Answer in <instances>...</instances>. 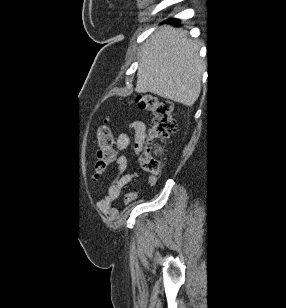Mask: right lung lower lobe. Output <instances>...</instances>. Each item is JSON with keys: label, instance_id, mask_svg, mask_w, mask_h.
Here are the masks:
<instances>
[{"label": "right lung lower lobe", "instance_id": "98d812e1", "mask_svg": "<svg viewBox=\"0 0 286 308\" xmlns=\"http://www.w3.org/2000/svg\"><path fill=\"white\" fill-rule=\"evenodd\" d=\"M167 22H171L173 24H179V20H176V19H169L167 20Z\"/></svg>", "mask_w": 286, "mask_h": 308}]
</instances>
